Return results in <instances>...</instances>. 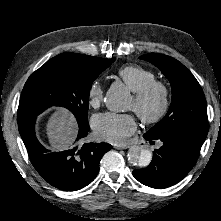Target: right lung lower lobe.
<instances>
[{
  "label": "right lung lower lobe",
  "mask_w": 221,
  "mask_h": 221,
  "mask_svg": "<svg viewBox=\"0 0 221 221\" xmlns=\"http://www.w3.org/2000/svg\"><path fill=\"white\" fill-rule=\"evenodd\" d=\"M36 118L18 124L19 132L36 171L50 185L64 191L80 190L90 184L99 172L103 155L112 149L107 143L75 144L63 152H50L35 135ZM79 124L76 141L87 136L89 124Z\"/></svg>",
  "instance_id": "obj_1"
}]
</instances>
